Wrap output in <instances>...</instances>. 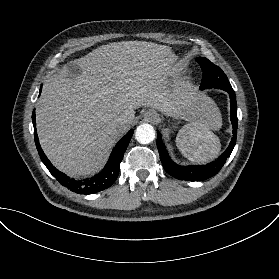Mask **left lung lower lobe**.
<instances>
[{
	"label": "left lung lower lobe",
	"mask_w": 279,
	"mask_h": 279,
	"mask_svg": "<svg viewBox=\"0 0 279 279\" xmlns=\"http://www.w3.org/2000/svg\"><path fill=\"white\" fill-rule=\"evenodd\" d=\"M225 91L228 92L230 96V106H231L230 117L233 126V137L225 152H223L215 161L201 166H180L171 160V158L169 157L165 149V146L163 145V142L161 140V135L159 132H157V148L159 151L160 159L163 168L171 176L186 181L206 180L208 178L213 177L220 171V169L225 164L227 158L232 153L234 146L236 144L237 126H238L237 103H236V95L234 90L231 88Z\"/></svg>",
	"instance_id": "obj_1"
}]
</instances>
